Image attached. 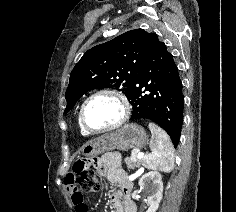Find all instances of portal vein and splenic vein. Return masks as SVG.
Segmentation results:
<instances>
[{
	"mask_svg": "<svg viewBox=\"0 0 236 212\" xmlns=\"http://www.w3.org/2000/svg\"><path fill=\"white\" fill-rule=\"evenodd\" d=\"M143 156H144V153H142V152H140L139 150H134L133 152H132V155H131V157H136V158H143Z\"/></svg>",
	"mask_w": 236,
	"mask_h": 212,
	"instance_id": "1",
	"label": "portal vein and splenic vein"
}]
</instances>
